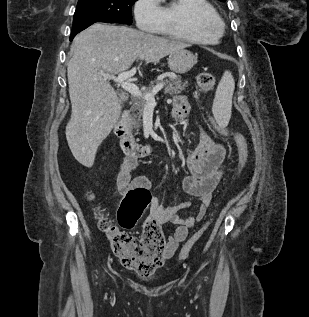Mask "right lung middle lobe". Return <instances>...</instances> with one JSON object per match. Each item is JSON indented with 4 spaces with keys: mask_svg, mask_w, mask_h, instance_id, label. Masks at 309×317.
Instances as JSON below:
<instances>
[{
    "mask_svg": "<svg viewBox=\"0 0 309 317\" xmlns=\"http://www.w3.org/2000/svg\"><path fill=\"white\" fill-rule=\"evenodd\" d=\"M137 0H78L73 26L86 21L132 24L131 6Z\"/></svg>",
    "mask_w": 309,
    "mask_h": 317,
    "instance_id": "dd1d6c3e",
    "label": "right lung middle lobe"
}]
</instances>
